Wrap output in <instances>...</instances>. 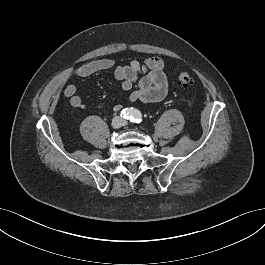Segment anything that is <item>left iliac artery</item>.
<instances>
[{"label": "left iliac artery", "mask_w": 265, "mask_h": 265, "mask_svg": "<svg viewBox=\"0 0 265 265\" xmlns=\"http://www.w3.org/2000/svg\"><path fill=\"white\" fill-rule=\"evenodd\" d=\"M129 120L133 123H141L142 122V114L138 110H134L133 116L129 118Z\"/></svg>", "instance_id": "1"}]
</instances>
